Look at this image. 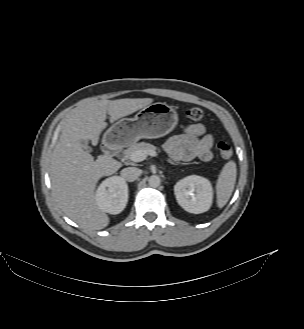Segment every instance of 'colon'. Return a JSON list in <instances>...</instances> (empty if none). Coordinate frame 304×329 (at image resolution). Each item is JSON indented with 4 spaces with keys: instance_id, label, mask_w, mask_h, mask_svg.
<instances>
[{
    "instance_id": "obj_1",
    "label": "colon",
    "mask_w": 304,
    "mask_h": 329,
    "mask_svg": "<svg viewBox=\"0 0 304 329\" xmlns=\"http://www.w3.org/2000/svg\"><path fill=\"white\" fill-rule=\"evenodd\" d=\"M187 117L192 121H202L204 119V111L200 107H191L187 110ZM217 148L223 159L231 158L233 154L232 146L230 143L225 141H220L217 144Z\"/></svg>"
}]
</instances>
